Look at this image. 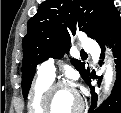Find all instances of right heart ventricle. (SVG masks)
<instances>
[{
	"instance_id": "obj_1",
	"label": "right heart ventricle",
	"mask_w": 121,
	"mask_h": 113,
	"mask_svg": "<svg viewBox=\"0 0 121 113\" xmlns=\"http://www.w3.org/2000/svg\"><path fill=\"white\" fill-rule=\"evenodd\" d=\"M52 82V78L38 74L30 98L31 109H44V93Z\"/></svg>"
}]
</instances>
